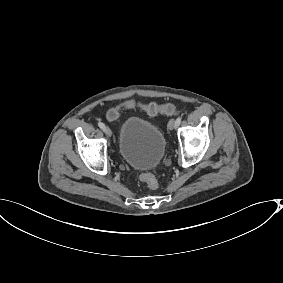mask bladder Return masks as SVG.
I'll use <instances>...</instances> for the list:
<instances>
[{"mask_svg": "<svg viewBox=\"0 0 283 283\" xmlns=\"http://www.w3.org/2000/svg\"><path fill=\"white\" fill-rule=\"evenodd\" d=\"M116 146L120 158L129 166L153 168L165 154L167 138L158 123L132 114L123 120Z\"/></svg>", "mask_w": 283, "mask_h": 283, "instance_id": "obj_1", "label": "bladder"}]
</instances>
